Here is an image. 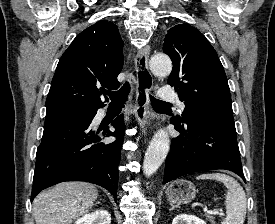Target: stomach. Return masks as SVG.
<instances>
[{
    "label": "stomach",
    "instance_id": "1",
    "mask_svg": "<svg viewBox=\"0 0 275 224\" xmlns=\"http://www.w3.org/2000/svg\"><path fill=\"white\" fill-rule=\"evenodd\" d=\"M196 196V188L190 181L179 179L172 182L166 189L168 201L177 206L191 202Z\"/></svg>",
    "mask_w": 275,
    "mask_h": 224
}]
</instances>
